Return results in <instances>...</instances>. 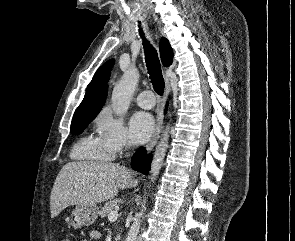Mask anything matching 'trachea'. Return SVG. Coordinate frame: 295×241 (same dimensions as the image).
<instances>
[{
  "label": "trachea",
  "mask_w": 295,
  "mask_h": 241,
  "mask_svg": "<svg viewBox=\"0 0 295 241\" xmlns=\"http://www.w3.org/2000/svg\"><path fill=\"white\" fill-rule=\"evenodd\" d=\"M139 32L141 37L143 38L145 61L148 73L150 75L151 83L155 92L159 95H163L165 85L157 53L150 45V43L144 38L142 29H139Z\"/></svg>",
  "instance_id": "obj_1"
}]
</instances>
